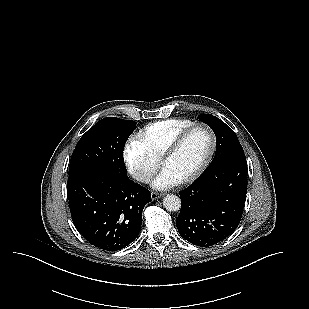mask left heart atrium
Wrapping results in <instances>:
<instances>
[{"label": "left heart atrium", "instance_id": "obj_1", "mask_svg": "<svg viewBox=\"0 0 309 309\" xmlns=\"http://www.w3.org/2000/svg\"><path fill=\"white\" fill-rule=\"evenodd\" d=\"M179 178L167 168H163L152 182V186L159 190L172 188L179 183Z\"/></svg>", "mask_w": 309, "mask_h": 309}]
</instances>
